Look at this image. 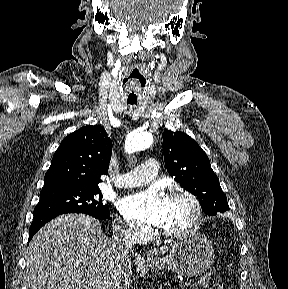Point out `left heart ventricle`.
Here are the masks:
<instances>
[{"label":"left heart ventricle","mask_w":288,"mask_h":289,"mask_svg":"<svg viewBox=\"0 0 288 289\" xmlns=\"http://www.w3.org/2000/svg\"><path fill=\"white\" fill-rule=\"evenodd\" d=\"M192 218V208L185 199H165L164 220L161 229L178 231L187 227Z\"/></svg>","instance_id":"b2bd125f"}]
</instances>
